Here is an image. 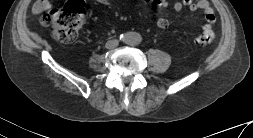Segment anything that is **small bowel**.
<instances>
[{
  "label": "small bowel",
  "instance_id": "obj_1",
  "mask_svg": "<svg viewBox=\"0 0 253 138\" xmlns=\"http://www.w3.org/2000/svg\"><path fill=\"white\" fill-rule=\"evenodd\" d=\"M151 3L154 7L165 10L169 7V2L167 0H146ZM51 0H37L34 3L33 11L36 14L45 12L50 8ZM184 7L191 11L201 10L204 14L205 23L202 26L203 30L211 29L214 25L216 18L212 7L207 0H181L173 4V9L176 12H180ZM157 27L160 30H166L169 27V21L161 17L157 20Z\"/></svg>",
  "mask_w": 253,
  "mask_h": 138
}]
</instances>
